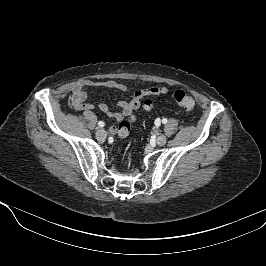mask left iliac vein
<instances>
[{
    "mask_svg": "<svg viewBox=\"0 0 266 266\" xmlns=\"http://www.w3.org/2000/svg\"><path fill=\"white\" fill-rule=\"evenodd\" d=\"M167 141V138L165 135L161 134L157 137L156 142L159 146H163Z\"/></svg>",
    "mask_w": 266,
    "mask_h": 266,
    "instance_id": "left-iliac-vein-1",
    "label": "left iliac vein"
}]
</instances>
